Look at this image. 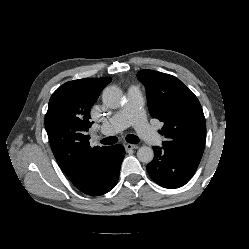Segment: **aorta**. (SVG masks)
Returning <instances> with one entry per match:
<instances>
[{
    "instance_id": "obj_1",
    "label": "aorta",
    "mask_w": 249,
    "mask_h": 249,
    "mask_svg": "<svg viewBox=\"0 0 249 249\" xmlns=\"http://www.w3.org/2000/svg\"><path fill=\"white\" fill-rule=\"evenodd\" d=\"M102 100L107 107L116 109L122 104L123 92L115 85L108 86L103 91ZM137 158L143 163H150L154 158V151L148 146H142L137 151Z\"/></svg>"
}]
</instances>
